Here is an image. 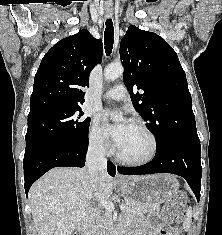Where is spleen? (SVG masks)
Listing matches in <instances>:
<instances>
[{"label": "spleen", "mask_w": 222, "mask_h": 235, "mask_svg": "<svg viewBox=\"0 0 222 235\" xmlns=\"http://www.w3.org/2000/svg\"><path fill=\"white\" fill-rule=\"evenodd\" d=\"M191 217H192V209L191 208H188L187 212H186V218L184 220V223H183V228L185 230H189L190 228V225H191Z\"/></svg>", "instance_id": "obj_1"}]
</instances>
